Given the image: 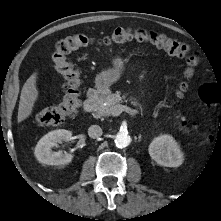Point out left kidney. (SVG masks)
Segmentation results:
<instances>
[{
  "instance_id": "1",
  "label": "left kidney",
  "mask_w": 221,
  "mask_h": 221,
  "mask_svg": "<svg viewBox=\"0 0 221 221\" xmlns=\"http://www.w3.org/2000/svg\"><path fill=\"white\" fill-rule=\"evenodd\" d=\"M148 151L151 158L161 166L179 167L183 163V153L179 145L168 134L154 138Z\"/></svg>"
}]
</instances>
